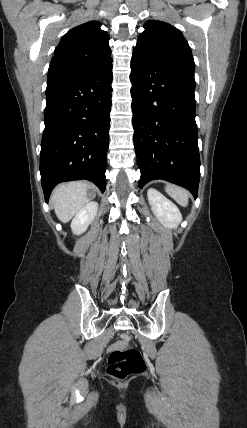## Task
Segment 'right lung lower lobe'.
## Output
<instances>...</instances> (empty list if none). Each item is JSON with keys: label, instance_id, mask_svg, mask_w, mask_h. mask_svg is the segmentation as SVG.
<instances>
[{"label": "right lung lower lobe", "instance_id": "obj_1", "mask_svg": "<svg viewBox=\"0 0 247 428\" xmlns=\"http://www.w3.org/2000/svg\"><path fill=\"white\" fill-rule=\"evenodd\" d=\"M112 59L75 77L47 83L40 172L45 200L63 181L106 188L112 106Z\"/></svg>", "mask_w": 247, "mask_h": 428}]
</instances>
